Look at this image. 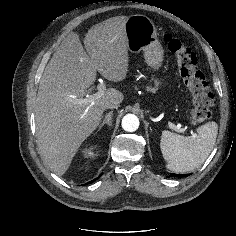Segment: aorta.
<instances>
[{
  "label": "aorta",
  "instance_id": "762f6f07",
  "mask_svg": "<svg viewBox=\"0 0 236 236\" xmlns=\"http://www.w3.org/2000/svg\"><path fill=\"white\" fill-rule=\"evenodd\" d=\"M139 127V119L134 114H127L122 119V128L127 132H134Z\"/></svg>",
  "mask_w": 236,
  "mask_h": 236
}]
</instances>
